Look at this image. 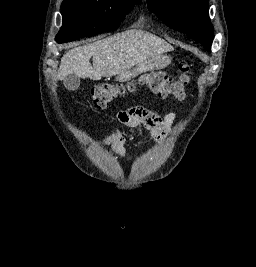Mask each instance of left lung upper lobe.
Wrapping results in <instances>:
<instances>
[{
  "label": "left lung upper lobe",
  "mask_w": 256,
  "mask_h": 267,
  "mask_svg": "<svg viewBox=\"0 0 256 267\" xmlns=\"http://www.w3.org/2000/svg\"><path fill=\"white\" fill-rule=\"evenodd\" d=\"M151 12L168 26L185 32L207 51L213 41V27L208 13V0H146Z\"/></svg>",
  "instance_id": "1"
}]
</instances>
